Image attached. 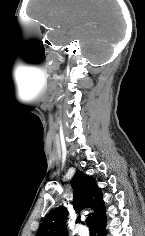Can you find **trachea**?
Returning a JSON list of instances; mask_svg holds the SVG:
<instances>
[{"instance_id": "3493384b", "label": "trachea", "mask_w": 145, "mask_h": 236, "mask_svg": "<svg viewBox=\"0 0 145 236\" xmlns=\"http://www.w3.org/2000/svg\"><path fill=\"white\" fill-rule=\"evenodd\" d=\"M86 224L89 227V229H95V225L93 223L91 216L87 217Z\"/></svg>"}]
</instances>
